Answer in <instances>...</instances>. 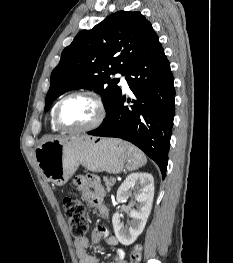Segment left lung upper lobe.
<instances>
[{
	"label": "left lung upper lobe",
	"instance_id": "left-lung-upper-lobe-1",
	"mask_svg": "<svg viewBox=\"0 0 233 263\" xmlns=\"http://www.w3.org/2000/svg\"><path fill=\"white\" fill-rule=\"evenodd\" d=\"M156 37L151 23L140 12L129 11L113 13L91 30L81 31L63 50L51 74L45 111L63 93L85 88L101 95L108 114L122 93L114 85L119 79L110 76L125 75Z\"/></svg>",
	"mask_w": 233,
	"mask_h": 263
}]
</instances>
